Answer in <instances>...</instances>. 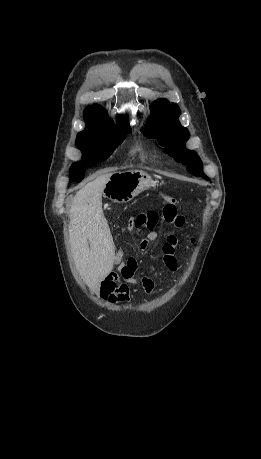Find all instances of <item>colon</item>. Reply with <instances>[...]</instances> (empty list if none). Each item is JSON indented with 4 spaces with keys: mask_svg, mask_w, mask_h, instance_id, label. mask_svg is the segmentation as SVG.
I'll return each instance as SVG.
<instances>
[{
    "mask_svg": "<svg viewBox=\"0 0 261 459\" xmlns=\"http://www.w3.org/2000/svg\"><path fill=\"white\" fill-rule=\"evenodd\" d=\"M164 207L162 210L163 219L173 227L181 228L184 224V218L177 212V201L173 196L164 194ZM159 223V214L156 211H148L139 214L134 220L133 225L137 229H147L149 231L154 230ZM170 237L175 235L173 230L168 232ZM118 252L115 255V258L118 261H126L129 258V255L125 251V248L122 245H119L116 248Z\"/></svg>",
    "mask_w": 261,
    "mask_h": 459,
    "instance_id": "colon-1",
    "label": "colon"
}]
</instances>
